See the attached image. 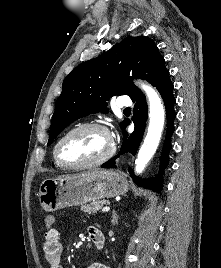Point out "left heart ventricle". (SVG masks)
<instances>
[{"instance_id":"1","label":"left heart ventricle","mask_w":221,"mask_h":268,"mask_svg":"<svg viewBox=\"0 0 221 268\" xmlns=\"http://www.w3.org/2000/svg\"><path fill=\"white\" fill-rule=\"evenodd\" d=\"M109 136L98 129H83L70 135L60 147V157L71 164H80L103 156L110 148Z\"/></svg>"}]
</instances>
